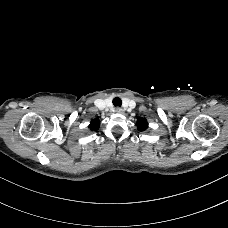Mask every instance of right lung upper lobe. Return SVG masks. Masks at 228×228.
<instances>
[{
  "instance_id": "right-lung-upper-lobe-1",
  "label": "right lung upper lobe",
  "mask_w": 228,
  "mask_h": 228,
  "mask_svg": "<svg viewBox=\"0 0 228 228\" xmlns=\"http://www.w3.org/2000/svg\"><path fill=\"white\" fill-rule=\"evenodd\" d=\"M100 122L98 119H94L91 121L89 128L92 131H96L99 128Z\"/></svg>"
}]
</instances>
